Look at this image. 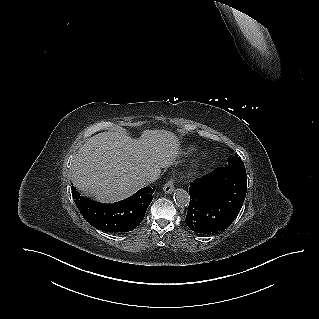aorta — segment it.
<instances>
[{"mask_svg":"<svg viewBox=\"0 0 319 319\" xmlns=\"http://www.w3.org/2000/svg\"><path fill=\"white\" fill-rule=\"evenodd\" d=\"M174 201L178 207H186L189 204L190 197L186 190L176 189L174 192Z\"/></svg>","mask_w":319,"mask_h":319,"instance_id":"762f6f07","label":"aorta"}]
</instances>
